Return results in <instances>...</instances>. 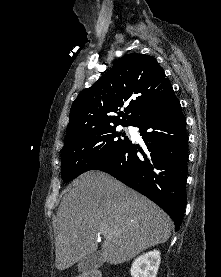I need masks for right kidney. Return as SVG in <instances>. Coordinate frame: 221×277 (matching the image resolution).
Instances as JSON below:
<instances>
[{"instance_id": "obj_1", "label": "right kidney", "mask_w": 221, "mask_h": 277, "mask_svg": "<svg viewBox=\"0 0 221 277\" xmlns=\"http://www.w3.org/2000/svg\"><path fill=\"white\" fill-rule=\"evenodd\" d=\"M160 261V252L158 250L150 251L137 257L130 269L131 276L156 277Z\"/></svg>"}]
</instances>
